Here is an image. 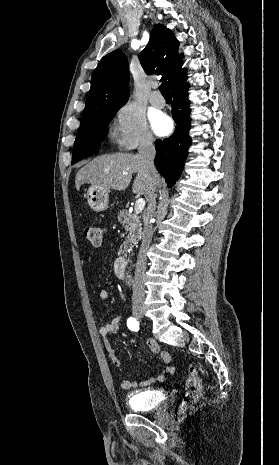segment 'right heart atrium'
<instances>
[{
  "label": "right heart atrium",
  "instance_id": "1",
  "mask_svg": "<svg viewBox=\"0 0 279 465\" xmlns=\"http://www.w3.org/2000/svg\"><path fill=\"white\" fill-rule=\"evenodd\" d=\"M110 136L125 150L151 146L154 142L144 115L131 104H124L116 110Z\"/></svg>",
  "mask_w": 279,
  "mask_h": 465
}]
</instances>
